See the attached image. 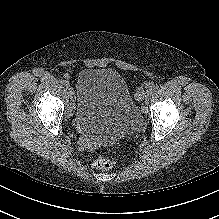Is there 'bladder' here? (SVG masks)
Wrapping results in <instances>:
<instances>
[{
	"instance_id": "31cf9c89",
	"label": "bladder",
	"mask_w": 219,
	"mask_h": 219,
	"mask_svg": "<svg viewBox=\"0 0 219 219\" xmlns=\"http://www.w3.org/2000/svg\"><path fill=\"white\" fill-rule=\"evenodd\" d=\"M71 124L79 132L115 138L138 131L140 114L121 74L109 68L84 69L77 80Z\"/></svg>"
}]
</instances>
